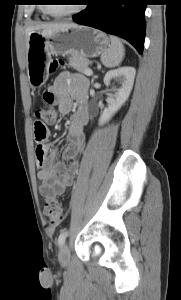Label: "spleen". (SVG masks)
Listing matches in <instances>:
<instances>
[{
  "mask_svg": "<svg viewBox=\"0 0 181 300\" xmlns=\"http://www.w3.org/2000/svg\"><path fill=\"white\" fill-rule=\"evenodd\" d=\"M111 45L101 55V62L107 68L119 66L125 54L121 40L115 36H110Z\"/></svg>",
  "mask_w": 181,
  "mask_h": 300,
  "instance_id": "spleen-1",
  "label": "spleen"
}]
</instances>
